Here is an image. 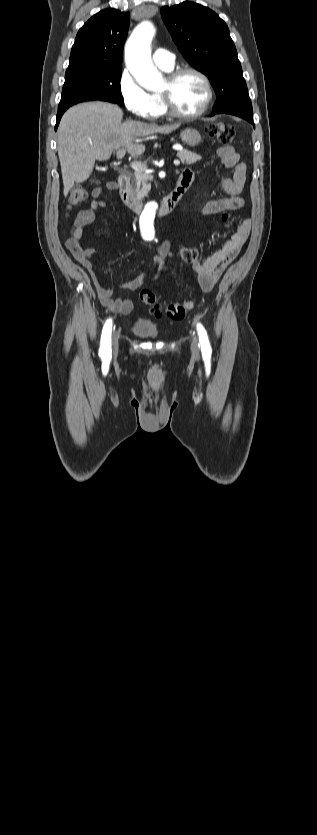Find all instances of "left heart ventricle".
Masks as SVG:
<instances>
[{"mask_svg": "<svg viewBox=\"0 0 317 835\" xmlns=\"http://www.w3.org/2000/svg\"><path fill=\"white\" fill-rule=\"evenodd\" d=\"M169 88L170 86L166 79L161 92ZM171 93L176 107L184 113L197 111L206 97V90L202 80L194 74L181 76L171 87Z\"/></svg>", "mask_w": 317, "mask_h": 835, "instance_id": "left-heart-ventricle-1", "label": "left heart ventricle"}]
</instances>
